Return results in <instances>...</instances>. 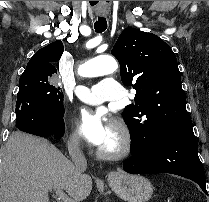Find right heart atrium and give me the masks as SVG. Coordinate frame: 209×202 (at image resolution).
I'll use <instances>...</instances> for the list:
<instances>
[{
  "label": "right heart atrium",
  "mask_w": 209,
  "mask_h": 202,
  "mask_svg": "<svg viewBox=\"0 0 209 202\" xmlns=\"http://www.w3.org/2000/svg\"><path fill=\"white\" fill-rule=\"evenodd\" d=\"M66 141L68 147L73 150L79 149L82 145V139L79 133L75 130H71L67 133ZM66 171L71 175H78L77 169L73 167L71 164H66Z\"/></svg>",
  "instance_id": "d8ad5b80"
}]
</instances>
